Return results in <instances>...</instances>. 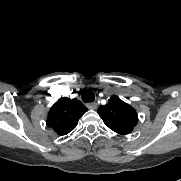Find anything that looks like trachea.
<instances>
[{
    "label": "trachea",
    "mask_w": 181,
    "mask_h": 181,
    "mask_svg": "<svg viewBox=\"0 0 181 181\" xmlns=\"http://www.w3.org/2000/svg\"><path fill=\"white\" fill-rule=\"evenodd\" d=\"M81 97L84 102H93L95 100L93 91L89 89L84 90Z\"/></svg>",
    "instance_id": "obj_1"
}]
</instances>
